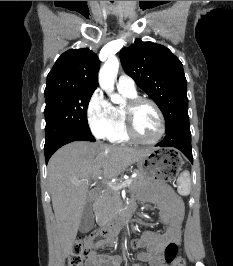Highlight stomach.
Returning a JSON list of instances; mask_svg holds the SVG:
<instances>
[{
  "mask_svg": "<svg viewBox=\"0 0 233 266\" xmlns=\"http://www.w3.org/2000/svg\"><path fill=\"white\" fill-rule=\"evenodd\" d=\"M184 156L178 152V147H155L143 159L137 162L138 169L148 181L176 180L177 172L183 166Z\"/></svg>",
  "mask_w": 233,
  "mask_h": 266,
  "instance_id": "obj_1",
  "label": "stomach"
}]
</instances>
